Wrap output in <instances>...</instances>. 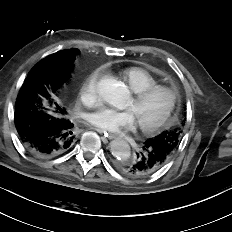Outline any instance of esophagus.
I'll return each instance as SVG.
<instances>
[{
	"label": "esophagus",
	"mask_w": 232,
	"mask_h": 232,
	"mask_svg": "<svg viewBox=\"0 0 232 232\" xmlns=\"http://www.w3.org/2000/svg\"><path fill=\"white\" fill-rule=\"evenodd\" d=\"M95 131H97L98 133L102 134L104 136V138H107V139H113L115 137L114 134H111L107 131H104V130H101L99 128H93Z\"/></svg>",
	"instance_id": "obj_1"
}]
</instances>
